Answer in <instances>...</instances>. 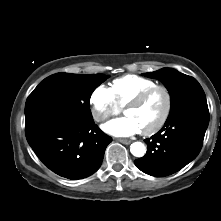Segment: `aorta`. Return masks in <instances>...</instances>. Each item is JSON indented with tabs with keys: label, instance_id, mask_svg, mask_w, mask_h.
I'll return each mask as SVG.
<instances>
[{
	"label": "aorta",
	"instance_id": "obj_1",
	"mask_svg": "<svg viewBox=\"0 0 221 221\" xmlns=\"http://www.w3.org/2000/svg\"><path fill=\"white\" fill-rule=\"evenodd\" d=\"M130 151L135 157H143L146 153V147L142 142H134L130 146Z\"/></svg>",
	"mask_w": 221,
	"mask_h": 221
}]
</instances>
